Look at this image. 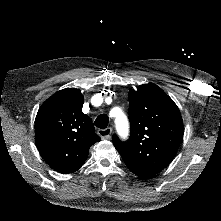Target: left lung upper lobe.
<instances>
[{"mask_svg": "<svg viewBox=\"0 0 221 221\" xmlns=\"http://www.w3.org/2000/svg\"><path fill=\"white\" fill-rule=\"evenodd\" d=\"M130 139L113 144L127 167L137 176L149 178L173 160L183 137L184 126L174 101L153 83L129 91Z\"/></svg>", "mask_w": 221, "mask_h": 221, "instance_id": "left-lung-upper-lobe-1", "label": "left lung upper lobe"}]
</instances>
